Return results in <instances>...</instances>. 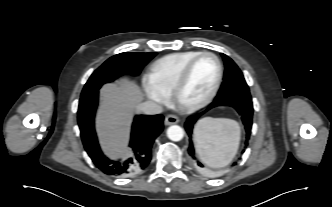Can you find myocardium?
I'll return each instance as SVG.
<instances>
[{
    "label": "myocardium",
    "mask_w": 332,
    "mask_h": 207,
    "mask_svg": "<svg viewBox=\"0 0 332 207\" xmlns=\"http://www.w3.org/2000/svg\"><path fill=\"white\" fill-rule=\"evenodd\" d=\"M205 56H210L216 61V64H217L216 80H215L214 85H213L212 89L210 90V92L203 99H201L197 102H194V103H187L182 98L184 89L189 81V78H190L194 65L196 64V62L199 59H201L202 57H205ZM222 77H223V66H222V63H221L219 57L212 52H207V51L201 52L200 54L195 56L193 59H191L187 63V65L182 70V72L174 86V89L172 92V97H173V101H174L175 105L179 109H181L185 112H194V111H197V110H200V109L206 107L215 98L216 94L218 93V90H219L221 82H222Z\"/></svg>",
    "instance_id": "obj_1"
}]
</instances>
